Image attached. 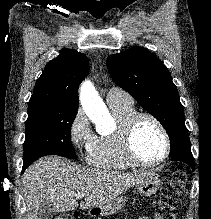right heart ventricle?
Returning <instances> with one entry per match:
<instances>
[{"label": "right heart ventricle", "instance_id": "obj_1", "mask_svg": "<svg viewBox=\"0 0 211 219\" xmlns=\"http://www.w3.org/2000/svg\"><path fill=\"white\" fill-rule=\"evenodd\" d=\"M109 107L116 122L115 129L109 134H100L94 138L87 150V161L99 168L125 170L134 164L127 159L122 148V127L136 111L133 103L111 104Z\"/></svg>", "mask_w": 211, "mask_h": 219}]
</instances>
